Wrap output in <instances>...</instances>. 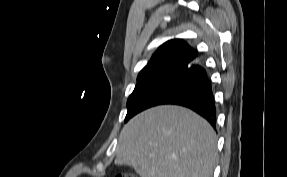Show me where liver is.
Returning <instances> with one entry per match:
<instances>
[{
	"label": "liver",
	"mask_w": 287,
	"mask_h": 177,
	"mask_svg": "<svg viewBox=\"0 0 287 177\" xmlns=\"http://www.w3.org/2000/svg\"><path fill=\"white\" fill-rule=\"evenodd\" d=\"M216 137L195 112L174 105L150 108L122 129L117 165H129L141 177H212Z\"/></svg>",
	"instance_id": "6515ba94"
}]
</instances>
